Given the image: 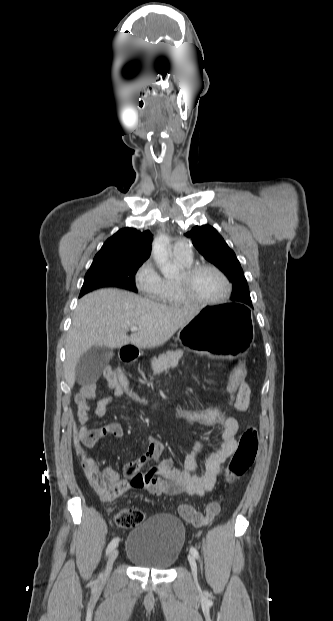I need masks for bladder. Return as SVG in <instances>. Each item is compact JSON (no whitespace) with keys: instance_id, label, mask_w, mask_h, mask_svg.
Instances as JSON below:
<instances>
[{"instance_id":"1","label":"bladder","mask_w":333,"mask_h":621,"mask_svg":"<svg viewBox=\"0 0 333 621\" xmlns=\"http://www.w3.org/2000/svg\"><path fill=\"white\" fill-rule=\"evenodd\" d=\"M184 543L182 521L170 514H156L130 531L126 556L138 567L166 571L178 560Z\"/></svg>"}]
</instances>
